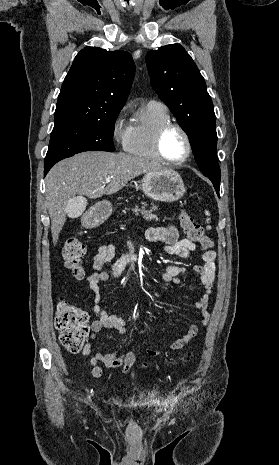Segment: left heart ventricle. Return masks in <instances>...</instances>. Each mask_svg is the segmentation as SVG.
<instances>
[{
    "mask_svg": "<svg viewBox=\"0 0 279 465\" xmlns=\"http://www.w3.org/2000/svg\"><path fill=\"white\" fill-rule=\"evenodd\" d=\"M162 149L165 156L171 160L183 158L187 145L181 132L177 129H170L163 138Z\"/></svg>",
    "mask_w": 279,
    "mask_h": 465,
    "instance_id": "obj_1",
    "label": "left heart ventricle"
}]
</instances>
